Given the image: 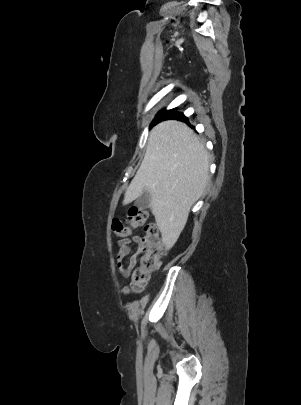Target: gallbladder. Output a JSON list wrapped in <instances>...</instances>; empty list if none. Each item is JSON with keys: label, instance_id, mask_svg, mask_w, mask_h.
I'll list each match as a JSON object with an SVG mask.
<instances>
[{"label": "gallbladder", "instance_id": "1", "mask_svg": "<svg viewBox=\"0 0 301 405\" xmlns=\"http://www.w3.org/2000/svg\"><path fill=\"white\" fill-rule=\"evenodd\" d=\"M151 202V194L148 191H144L134 202V206L138 210H144L149 208Z\"/></svg>", "mask_w": 301, "mask_h": 405}]
</instances>
